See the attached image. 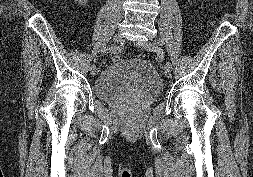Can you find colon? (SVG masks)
I'll use <instances>...</instances> for the list:
<instances>
[{"instance_id":"5ec220e1","label":"colon","mask_w":253,"mask_h":177,"mask_svg":"<svg viewBox=\"0 0 253 177\" xmlns=\"http://www.w3.org/2000/svg\"><path fill=\"white\" fill-rule=\"evenodd\" d=\"M119 60H120L119 55H114V56L112 57V61H113V62H117V61H119Z\"/></svg>"}]
</instances>
